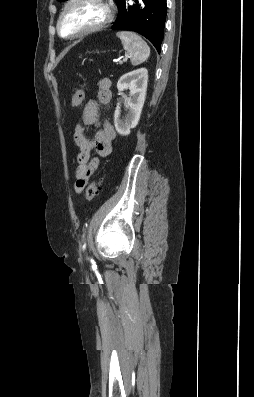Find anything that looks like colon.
Here are the masks:
<instances>
[{"instance_id": "1", "label": "colon", "mask_w": 254, "mask_h": 397, "mask_svg": "<svg viewBox=\"0 0 254 397\" xmlns=\"http://www.w3.org/2000/svg\"><path fill=\"white\" fill-rule=\"evenodd\" d=\"M85 98V92L82 88H77L72 96L71 105L74 108L79 107ZM101 190L99 181L94 180L86 190V198L91 201L96 198Z\"/></svg>"}]
</instances>
